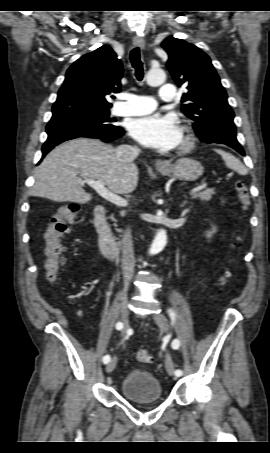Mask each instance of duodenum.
I'll use <instances>...</instances> for the list:
<instances>
[{
    "instance_id": "1",
    "label": "duodenum",
    "mask_w": 270,
    "mask_h": 453,
    "mask_svg": "<svg viewBox=\"0 0 270 453\" xmlns=\"http://www.w3.org/2000/svg\"><path fill=\"white\" fill-rule=\"evenodd\" d=\"M106 209L103 206H98L94 210V226L98 234L99 246L101 252L109 257L116 258L119 254V247L109 228L105 217Z\"/></svg>"
}]
</instances>
